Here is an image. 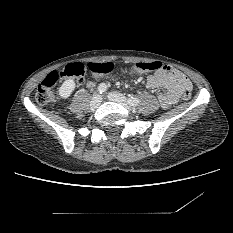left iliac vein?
<instances>
[{"label":"left iliac vein","instance_id":"left-iliac-vein-1","mask_svg":"<svg viewBox=\"0 0 233 233\" xmlns=\"http://www.w3.org/2000/svg\"><path fill=\"white\" fill-rule=\"evenodd\" d=\"M108 98L111 101H114V102H117V103L124 105L128 110L131 109V105L128 103L126 97L121 93L111 92V93H109Z\"/></svg>","mask_w":233,"mask_h":233}]
</instances>
